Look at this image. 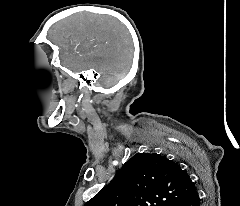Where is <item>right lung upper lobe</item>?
<instances>
[{"instance_id":"right-lung-upper-lobe-1","label":"right lung upper lobe","mask_w":240,"mask_h":206,"mask_svg":"<svg viewBox=\"0 0 240 206\" xmlns=\"http://www.w3.org/2000/svg\"><path fill=\"white\" fill-rule=\"evenodd\" d=\"M195 190L177 163L157 153H137L84 206H171Z\"/></svg>"}]
</instances>
